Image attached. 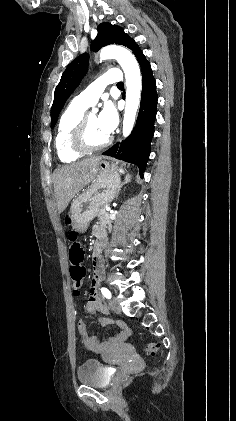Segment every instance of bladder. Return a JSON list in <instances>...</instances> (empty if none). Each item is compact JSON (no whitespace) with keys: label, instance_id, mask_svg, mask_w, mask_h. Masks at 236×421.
<instances>
[{"label":"bladder","instance_id":"obj_1","mask_svg":"<svg viewBox=\"0 0 236 421\" xmlns=\"http://www.w3.org/2000/svg\"><path fill=\"white\" fill-rule=\"evenodd\" d=\"M77 382L87 384L93 387H101L109 385V381L105 379L99 361L96 359H86L77 370Z\"/></svg>","mask_w":236,"mask_h":421}]
</instances>
